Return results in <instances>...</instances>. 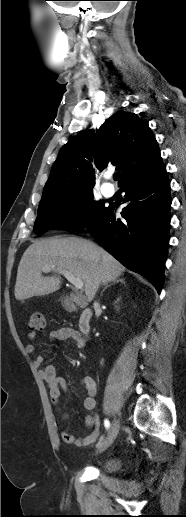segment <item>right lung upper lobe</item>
<instances>
[{
	"instance_id": "obj_1",
	"label": "right lung upper lobe",
	"mask_w": 186,
	"mask_h": 517,
	"mask_svg": "<svg viewBox=\"0 0 186 517\" xmlns=\"http://www.w3.org/2000/svg\"><path fill=\"white\" fill-rule=\"evenodd\" d=\"M109 162L122 171L121 185L162 162L146 120L134 113L118 111L97 132L88 130L68 141L53 164L41 201L92 190L94 167L103 170Z\"/></svg>"
}]
</instances>
